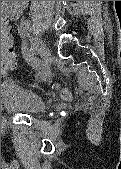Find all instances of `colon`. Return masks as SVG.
I'll use <instances>...</instances> for the list:
<instances>
[{"instance_id":"colon-1","label":"colon","mask_w":121,"mask_h":169,"mask_svg":"<svg viewBox=\"0 0 121 169\" xmlns=\"http://www.w3.org/2000/svg\"><path fill=\"white\" fill-rule=\"evenodd\" d=\"M1 50H2V68L4 70L14 68L17 62V58L15 52L12 49V46L10 45L7 39L1 43ZM55 88L59 91L62 98L70 99L71 94L69 90L61 88L59 85H56Z\"/></svg>"}]
</instances>
